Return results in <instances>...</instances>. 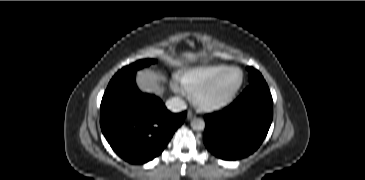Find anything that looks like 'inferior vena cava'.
Here are the masks:
<instances>
[{
	"instance_id": "602c4592",
	"label": "inferior vena cava",
	"mask_w": 365,
	"mask_h": 180,
	"mask_svg": "<svg viewBox=\"0 0 365 180\" xmlns=\"http://www.w3.org/2000/svg\"><path fill=\"white\" fill-rule=\"evenodd\" d=\"M166 107L172 112H180L185 110L187 105L180 97H173L166 101Z\"/></svg>"
}]
</instances>
